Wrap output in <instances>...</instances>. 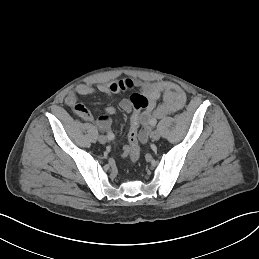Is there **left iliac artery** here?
I'll use <instances>...</instances> for the list:
<instances>
[{"mask_svg":"<svg viewBox=\"0 0 259 259\" xmlns=\"http://www.w3.org/2000/svg\"><path fill=\"white\" fill-rule=\"evenodd\" d=\"M152 123H153V125H156L157 120H156V119H154Z\"/></svg>","mask_w":259,"mask_h":259,"instance_id":"left-iliac-artery-1","label":"left iliac artery"}]
</instances>
